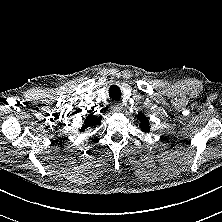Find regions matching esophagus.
Returning a JSON list of instances; mask_svg holds the SVG:
<instances>
[{"label":"esophagus","instance_id":"esophagus-1","mask_svg":"<svg viewBox=\"0 0 222 222\" xmlns=\"http://www.w3.org/2000/svg\"><path fill=\"white\" fill-rule=\"evenodd\" d=\"M111 109L114 111V112H119L121 110V104L119 103H115L111 106Z\"/></svg>","mask_w":222,"mask_h":222}]
</instances>
